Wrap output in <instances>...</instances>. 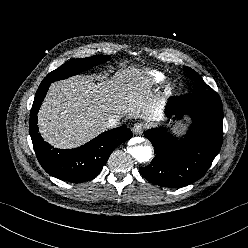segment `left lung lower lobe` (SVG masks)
Returning <instances> with one entry per match:
<instances>
[{
  "instance_id": "1",
  "label": "left lung lower lobe",
  "mask_w": 248,
  "mask_h": 248,
  "mask_svg": "<svg viewBox=\"0 0 248 248\" xmlns=\"http://www.w3.org/2000/svg\"><path fill=\"white\" fill-rule=\"evenodd\" d=\"M166 109L168 116L190 115L194 124L180 140L165 128L147 130L145 136L153 143L155 157L149 166L140 167V173L162 187L186 186L206 173L221 148L222 102L215 91L204 89L169 98Z\"/></svg>"
}]
</instances>
